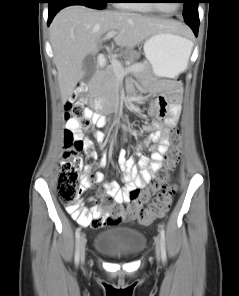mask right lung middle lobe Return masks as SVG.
<instances>
[{"label":"right lung middle lobe","mask_w":239,"mask_h":296,"mask_svg":"<svg viewBox=\"0 0 239 296\" xmlns=\"http://www.w3.org/2000/svg\"><path fill=\"white\" fill-rule=\"evenodd\" d=\"M50 3L52 0H48ZM69 5H84L90 8L95 9H103L106 7V4L110 2V0H66Z\"/></svg>","instance_id":"obj_1"}]
</instances>
